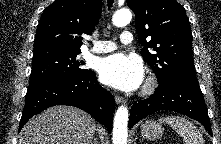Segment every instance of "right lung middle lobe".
Segmentation results:
<instances>
[{
    "mask_svg": "<svg viewBox=\"0 0 221 144\" xmlns=\"http://www.w3.org/2000/svg\"><path fill=\"white\" fill-rule=\"evenodd\" d=\"M79 53L80 51L62 50H46L34 53L28 89L61 76L85 75L89 69L83 67L82 61L76 60Z\"/></svg>",
    "mask_w": 221,
    "mask_h": 144,
    "instance_id": "obj_1",
    "label": "right lung middle lobe"
}]
</instances>
